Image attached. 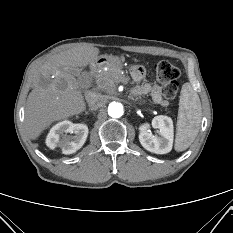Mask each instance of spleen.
I'll return each instance as SVG.
<instances>
[{
    "label": "spleen",
    "instance_id": "1",
    "mask_svg": "<svg viewBox=\"0 0 233 233\" xmlns=\"http://www.w3.org/2000/svg\"><path fill=\"white\" fill-rule=\"evenodd\" d=\"M201 116V103L198 94L190 83L183 84L174 144L176 151H184L194 142L199 132Z\"/></svg>",
    "mask_w": 233,
    "mask_h": 233
}]
</instances>
